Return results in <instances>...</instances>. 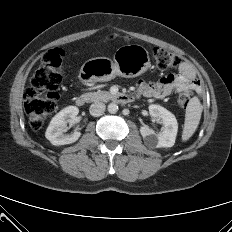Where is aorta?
Masks as SVG:
<instances>
[{
    "mask_svg": "<svg viewBox=\"0 0 232 232\" xmlns=\"http://www.w3.org/2000/svg\"><path fill=\"white\" fill-rule=\"evenodd\" d=\"M107 109L109 113L115 114L118 111V105L116 103H110Z\"/></svg>",
    "mask_w": 232,
    "mask_h": 232,
    "instance_id": "762f6f07",
    "label": "aorta"
}]
</instances>
